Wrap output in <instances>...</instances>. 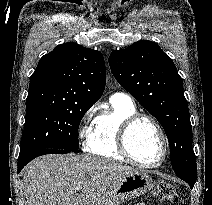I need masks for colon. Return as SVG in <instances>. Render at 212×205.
I'll return each mask as SVG.
<instances>
[{"instance_id":"colon-1","label":"colon","mask_w":212,"mask_h":205,"mask_svg":"<svg viewBox=\"0 0 212 205\" xmlns=\"http://www.w3.org/2000/svg\"><path fill=\"white\" fill-rule=\"evenodd\" d=\"M155 197L160 201L176 202L177 192L175 187L167 182H159L154 190Z\"/></svg>"}]
</instances>
